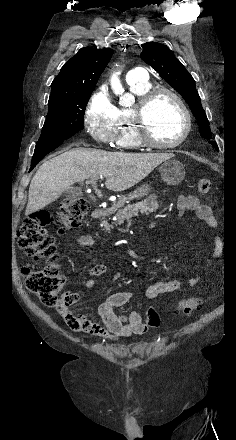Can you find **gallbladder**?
<instances>
[{
    "label": "gallbladder",
    "instance_id": "obj_1",
    "mask_svg": "<svg viewBox=\"0 0 236 440\" xmlns=\"http://www.w3.org/2000/svg\"><path fill=\"white\" fill-rule=\"evenodd\" d=\"M65 195L71 198H78L82 195L80 188L78 187H69L65 190Z\"/></svg>",
    "mask_w": 236,
    "mask_h": 440
}]
</instances>
